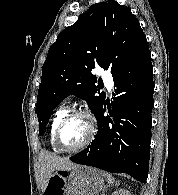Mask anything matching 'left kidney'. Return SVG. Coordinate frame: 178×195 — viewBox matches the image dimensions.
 <instances>
[{"mask_svg":"<svg viewBox=\"0 0 178 195\" xmlns=\"http://www.w3.org/2000/svg\"><path fill=\"white\" fill-rule=\"evenodd\" d=\"M112 195H131V194L128 190L120 188V189L114 191Z\"/></svg>","mask_w":178,"mask_h":195,"instance_id":"1","label":"left kidney"}]
</instances>
